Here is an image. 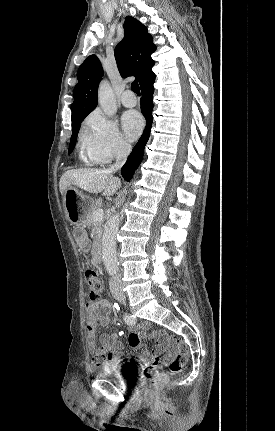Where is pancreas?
I'll list each match as a JSON object with an SVG mask.
<instances>
[{
	"label": "pancreas",
	"mask_w": 275,
	"mask_h": 431,
	"mask_svg": "<svg viewBox=\"0 0 275 431\" xmlns=\"http://www.w3.org/2000/svg\"><path fill=\"white\" fill-rule=\"evenodd\" d=\"M102 206V200L96 199L95 200V204L93 206H91L87 219H86V224L88 227H94L95 229V234H94V244H97L100 241L101 238V233H102V225H103V221L102 220H98L95 221L92 218V214L95 210L101 208Z\"/></svg>",
	"instance_id": "cf45deb5"
}]
</instances>
